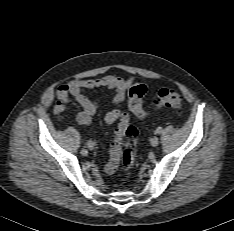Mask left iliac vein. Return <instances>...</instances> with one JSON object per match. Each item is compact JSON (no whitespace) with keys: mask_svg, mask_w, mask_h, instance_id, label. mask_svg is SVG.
Returning a JSON list of instances; mask_svg holds the SVG:
<instances>
[{"mask_svg":"<svg viewBox=\"0 0 234 231\" xmlns=\"http://www.w3.org/2000/svg\"><path fill=\"white\" fill-rule=\"evenodd\" d=\"M150 144H151V146H153V147L158 146V144H159V139H158V137H156V136L152 137L151 140H150Z\"/></svg>","mask_w":234,"mask_h":231,"instance_id":"left-iliac-vein-1","label":"left iliac vein"}]
</instances>
